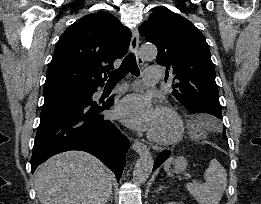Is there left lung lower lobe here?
<instances>
[{"instance_id":"0a47b994","label":"left lung lower lobe","mask_w":261,"mask_h":204,"mask_svg":"<svg viewBox=\"0 0 261 204\" xmlns=\"http://www.w3.org/2000/svg\"><path fill=\"white\" fill-rule=\"evenodd\" d=\"M205 122H206V125L208 127L213 128V129L220 131V132L222 131V129L216 123L211 122V121L206 120V119H205ZM223 136L227 140V137L225 135V130L223 131ZM170 154H171L170 150H164L163 152H161L155 160L153 170L158 168L170 156Z\"/></svg>"}]
</instances>
